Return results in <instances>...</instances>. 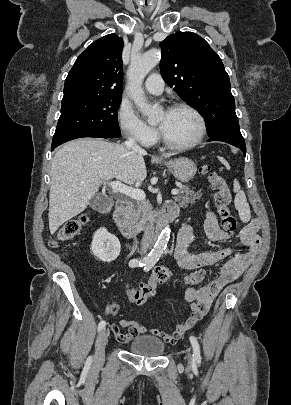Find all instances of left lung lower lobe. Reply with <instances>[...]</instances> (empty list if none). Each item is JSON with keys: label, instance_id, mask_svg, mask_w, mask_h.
<instances>
[{"label": "left lung lower lobe", "instance_id": "left-lung-lower-lobe-1", "mask_svg": "<svg viewBox=\"0 0 291 405\" xmlns=\"http://www.w3.org/2000/svg\"><path fill=\"white\" fill-rule=\"evenodd\" d=\"M208 141H223L229 143L242 150L243 154H246V146L244 138L241 134L236 133H221L211 137Z\"/></svg>", "mask_w": 291, "mask_h": 405}]
</instances>
